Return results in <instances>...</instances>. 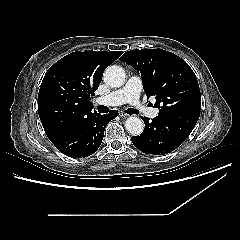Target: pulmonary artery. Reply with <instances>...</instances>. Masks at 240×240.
Instances as JSON below:
<instances>
[{"mask_svg":"<svg viewBox=\"0 0 240 240\" xmlns=\"http://www.w3.org/2000/svg\"><path fill=\"white\" fill-rule=\"evenodd\" d=\"M142 91V82L139 77H130L126 84L106 96L99 97L97 104L102 105H120L130 103L138 112L145 114L149 118H155L158 115V109L148 108L141 100L140 93Z\"/></svg>","mask_w":240,"mask_h":240,"instance_id":"obj_1","label":"pulmonary artery"}]
</instances>
